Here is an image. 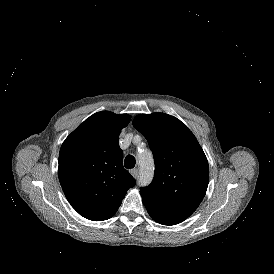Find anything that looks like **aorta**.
<instances>
[{"instance_id": "aorta-1", "label": "aorta", "mask_w": 274, "mask_h": 274, "mask_svg": "<svg viewBox=\"0 0 274 274\" xmlns=\"http://www.w3.org/2000/svg\"><path fill=\"white\" fill-rule=\"evenodd\" d=\"M138 160L140 166L139 184L147 186L150 184L154 173L153 156L150 151H143L138 153Z\"/></svg>"}]
</instances>
